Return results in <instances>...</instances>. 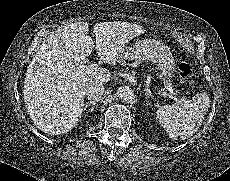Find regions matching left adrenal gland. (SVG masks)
Listing matches in <instances>:
<instances>
[{"instance_id":"obj_1","label":"left adrenal gland","mask_w":230,"mask_h":181,"mask_svg":"<svg viewBox=\"0 0 230 181\" xmlns=\"http://www.w3.org/2000/svg\"><path fill=\"white\" fill-rule=\"evenodd\" d=\"M147 91V90H146ZM146 94V104L148 105L149 104V101L147 100L148 98H149V96H151V95H149L147 92L145 93Z\"/></svg>"}]
</instances>
